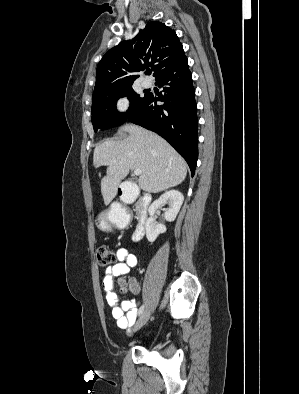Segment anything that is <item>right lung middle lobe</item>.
Returning <instances> with one entry per match:
<instances>
[{"mask_svg":"<svg viewBox=\"0 0 299 394\" xmlns=\"http://www.w3.org/2000/svg\"><path fill=\"white\" fill-rule=\"evenodd\" d=\"M125 96L130 100V107L126 113H119L116 110V102L119 98ZM145 98L146 94L141 97L135 93L132 84L93 93L92 124L94 130L97 131L99 128L104 130L123 124L142 105Z\"/></svg>","mask_w":299,"mask_h":394,"instance_id":"1","label":"right lung middle lobe"}]
</instances>
